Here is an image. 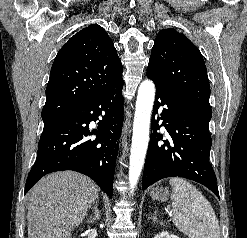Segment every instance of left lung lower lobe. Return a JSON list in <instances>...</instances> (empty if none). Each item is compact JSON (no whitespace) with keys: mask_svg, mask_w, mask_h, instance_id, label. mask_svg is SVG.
I'll use <instances>...</instances> for the list:
<instances>
[{"mask_svg":"<svg viewBox=\"0 0 247 238\" xmlns=\"http://www.w3.org/2000/svg\"><path fill=\"white\" fill-rule=\"evenodd\" d=\"M160 106L164 108L155 119ZM152 120L151 128L155 132L151 135L145 160L143 190L166 177H183L203 184L219 197L216 176L209 163L210 118L156 85ZM159 120L172 138L163 144L158 143L163 137L157 133Z\"/></svg>","mask_w":247,"mask_h":238,"instance_id":"left-lung-lower-lobe-1","label":"left lung lower lobe"}]
</instances>
